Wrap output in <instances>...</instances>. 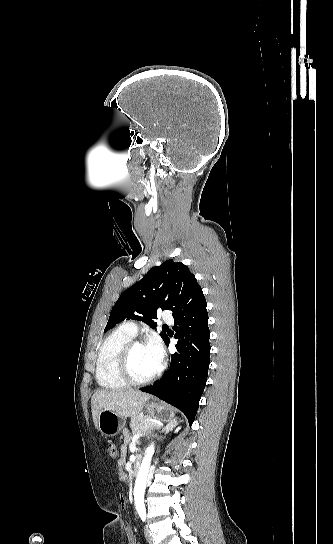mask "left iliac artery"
<instances>
[{
	"instance_id": "left-iliac-artery-1",
	"label": "left iliac artery",
	"mask_w": 333,
	"mask_h": 544,
	"mask_svg": "<svg viewBox=\"0 0 333 544\" xmlns=\"http://www.w3.org/2000/svg\"><path fill=\"white\" fill-rule=\"evenodd\" d=\"M139 515L142 519V521H145L146 519V512L144 510L139 511Z\"/></svg>"
}]
</instances>
